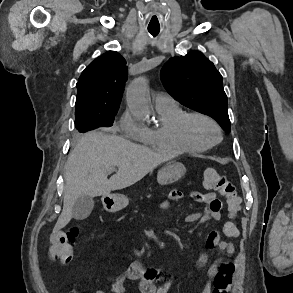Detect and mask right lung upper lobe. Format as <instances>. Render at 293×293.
<instances>
[{"mask_svg":"<svg viewBox=\"0 0 293 293\" xmlns=\"http://www.w3.org/2000/svg\"><path fill=\"white\" fill-rule=\"evenodd\" d=\"M127 75L126 61L119 53L108 51L95 59L78 80L76 111L117 112Z\"/></svg>","mask_w":293,"mask_h":293,"instance_id":"obj_1","label":"right lung upper lobe"}]
</instances>
